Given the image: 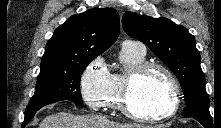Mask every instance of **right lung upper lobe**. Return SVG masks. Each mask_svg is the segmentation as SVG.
<instances>
[{
  "label": "right lung upper lobe",
  "mask_w": 221,
  "mask_h": 128,
  "mask_svg": "<svg viewBox=\"0 0 221 128\" xmlns=\"http://www.w3.org/2000/svg\"><path fill=\"white\" fill-rule=\"evenodd\" d=\"M119 29V16L113 8L91 9L71 16L48 41L41 70L95 59L116 41Z\"/></svg>",
  "instance_id": "obj_1"
}]
</instances>
